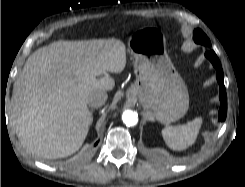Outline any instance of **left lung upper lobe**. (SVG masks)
Returning <instances> with one entry per match:
<instances>
[{
  "instance_id": "left-lung-upper-lobe-1",
  "label": "left lung upper lobe",
  "mask_w": 245,
  "mask_h": 187,
  "mask_svg": "<svg viewBox=\"0 0 245 187\" xmlns=\"http://www.w3.org/2000/svg\"><path fill=\"white\" fill-rule=\"evenodd\" d=\"M194 40L196 43L210 47L211 43L206 36V34L201 29H196L194 31Z\"/></svg>"
}]
</instances>
